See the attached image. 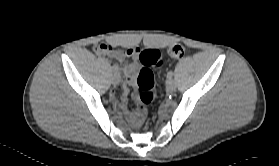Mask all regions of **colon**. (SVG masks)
I'll return each instance as SVG.
<instances>
[{
  "label": "colon",
  "mask_w": 279,
  "mask_h": 166,
  "mask_svg": "<svg viewBox=\"0 0 279 166\" xmlns=\"http://www.w3.org/2000/svg\"><path fill=\"white\" fill-rule=\"evenodd\" d=\"M167 54L171 58L181 59L186 56L187 48L181 44H174L169 46ZM139 62L143 66L136 81L139 106L137 116L140 120L145 115L147 107L151 105L158 96V92L155 89L152 69L161 66L163 58L158 50L147 49L139 54Z\"/></svg>",
  "instance_id": "1"
}]
</instances>
